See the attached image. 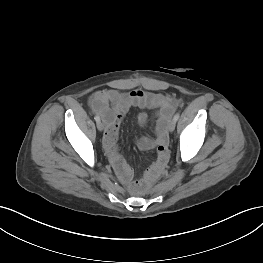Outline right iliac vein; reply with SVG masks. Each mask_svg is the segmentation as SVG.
Returning a JSON list of instances; mask_svg holds the SVG:
<instances>
[{
	"mask_svg": "<svg viewBox=\"0 0 263 263\" xmlns=\"http://www.w3.org/2000/svg\"><path fill=\"white\" fill-rule=\"evenodd\" d=\"M97 128H98L99 131H103L104 125H103V123L101 121L97 122Z\"/></svg>",
	"mask_w": 263,
	"mask_h": 263,
	"instance_id": "1",
	"label": "right iliac vein"
}]
</instances>
